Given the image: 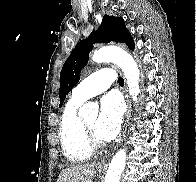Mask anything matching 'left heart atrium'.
<instances>
[{
  "label": "left heart atrium",
  "instance_id": "1",
  "mask_svg": "<svg viewBox=\"0 0 196 182\" xmlns=\"http://www.w3.org/2000/svg\"><path fill=\"white\" fill-rule=\"evenodd\" d=\"M124 114L122 99L115 93L101 100V111L95 127V135L102 141L113 140L120 131Z\"/></svg>",
  "mask_w": 196,
  "mask_h": 182
}]
</instances>
